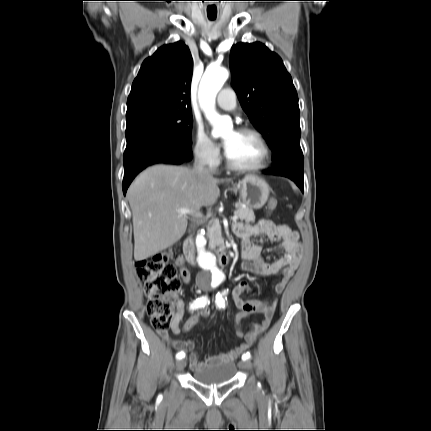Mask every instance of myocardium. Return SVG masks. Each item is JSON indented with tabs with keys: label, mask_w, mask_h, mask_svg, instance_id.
I'll return each instance as SVG.
<instances>
[{
	"label": "myocardium",
	"mask_w": 431,
	"mask_h": 431,
	"mask_svg": "<svg viewBox=\"0 0 431 431\" xmlns=\"http://www.w3.org/2000/svg\"><path fill=\"white\" fill-rule=\"evenodd\" d=\"M237 132L243 133V134L253 135L258 140V142L260 143V145L263 149V157H262L261 161L255 165L243 166V165H238V164L234 163L229 158V156L226 152L225 153V162H226L227 167L230 168L231 170L238 171V172H254V171H258V170H261V169H264L265 167H267L270 160H271V149H270L268 142L266 141V139L262 135V133L256 129H254V128H251V127H241L237 130Z\"/></svg>",
	"instance_id": "1"
}]
</instances>
